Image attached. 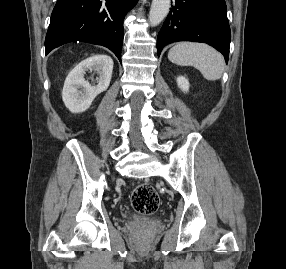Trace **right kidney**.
<instances>
[{
    "mask_svg": "<svg viewBox=\"0 0 286 269\" xmlns=\"http://www.w3.org/2000/svg\"><path fill=\"white\" fill-rule=\"evenodd\" d=\"M112 70L113 60L107 55H93L81 61L65 80L62 91L65 106L73 113L86 111L95 97L109 87ZM88 71L98 73L97 85L84 78Z\"/></svg>",
    "mask_w": 286,
    "mask_h": 269,
    "instance_id": "right-kidney-1",
    "label": "right kidney"
}]
</instances>
